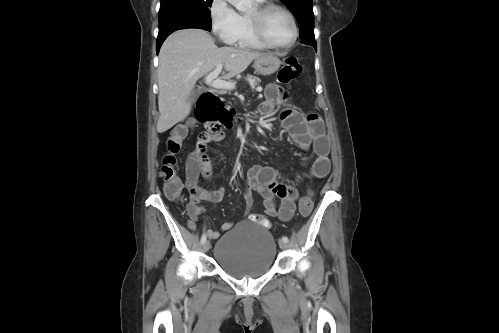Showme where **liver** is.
Returning a JSON list of instances; mask_svg holds the SVG:
<instances>
[{
    "label": "liver",
    "mask_w": 499,
    "mask_h": 333,
    "mask_svg": "<svg viewBox=\"0 0 499 333\" xmlns=\"http://www.w3.org/2000/svg\"><path fill=\"white\" fill-rule=\"evenodd\" d=\"M265 55L235 47L218 48L202 29L172 33L159 53L157 132L163 133L183 121L191 112V94L198 79L224 64L229 79L243 72L253 60Z\"/></svg>",
    "instance_id": "obj_1"
}]
</instances>
